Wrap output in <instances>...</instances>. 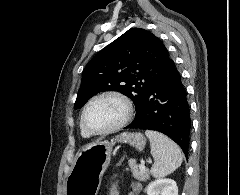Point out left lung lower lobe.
<instances>
[{"label":"left lung lower lobe","mask_w":240,"mask_h":195,"mask_svg":"<svg viewBox=\"0 0 240 195\" xmlns=\"http://www.w3.org/2000/svg\"><path fill=\"white\" fill-rule=\"evenodd\" d=\"M125 128L159 131L173 139L188 154L191 129L187 92L175 63L170 59L164 76L148 91L133 122Z\"/></svg>","instance_id":"0a47b994"}]
</instances>
